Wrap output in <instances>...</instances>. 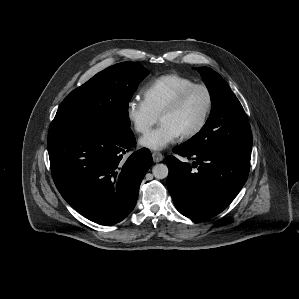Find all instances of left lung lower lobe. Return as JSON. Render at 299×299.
<instances>
[{
	"label": "left lung lower lobe",
	"mask_w": 299,
	"mask_h": 299,
	"mask_svg": "<svg viewBox=\"0 0 299 299\" xmlns=\"http://www.w3.org/2000/svg\"><path fill=\"white\" fill-rule=\"evenodd\" d=\"M173 151L189 160L167 156V187L177 210L186 217L206 220L222 212L245 184L251 153L199 152L181 144ZM194 168H196L194 170Z\"/></svg>",
	"instance_id": "1"
}]
</instances>
